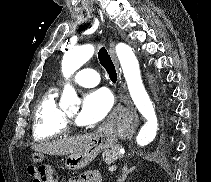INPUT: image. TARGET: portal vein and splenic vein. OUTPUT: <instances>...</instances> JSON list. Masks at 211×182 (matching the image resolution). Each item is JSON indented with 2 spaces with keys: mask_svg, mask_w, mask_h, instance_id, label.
I'll use <instances>...</instances> for the list:
<instances>
[{
  "mask_svg": "<svg viewBox=\"0 0 211 182\" xmlns=\"http://www.w3.org/2000/svg\"><path fill=\"white\" fill-rule=\"evenodd\" d=\"M115 170H116V166H111L108 169V171H110V172H114Z\"/></svg>",
  "mask_w": 211,
  "mask_h": 182,
  "instance_id": "1",
  "label": "portal vein and splenic vein"
}]
</instances>
